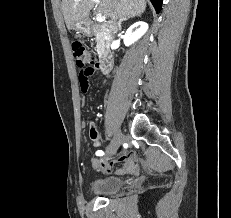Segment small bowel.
<instances>
[{"label": "small bowel", "instance_id": "c3829d8e", "mask_svg": "<svg viewBox=\"0 0 231 218\" xmlns=\"http://www.w3.org/2000/svg\"><path fill=\"white\" fill-rule=\"evenodd\" d=\"M98 67L99 64L95 63L93 66H86L85 69L78 70L79 82L83 92L87 91L89 86V77L94 74ZM84 126L85 124L82 123L81 127ZM89 136L95 147H99L101 145L100 134L94 124L90 125ZM91 165L93 168H101L106 173L114 172L117 175H130L138 171V155L134 152H128L111 162L102 159H92Z\"/></svg>", "mask_w": 231, "mask_h": 218}]
</instances>
